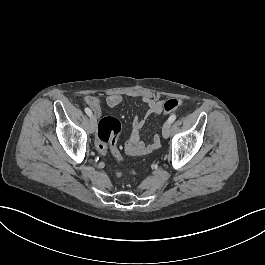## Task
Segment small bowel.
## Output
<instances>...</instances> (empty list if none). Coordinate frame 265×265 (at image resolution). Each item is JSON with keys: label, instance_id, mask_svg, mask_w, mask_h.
<instances>
[{"label": "small bowel", "instance_id": "small-bowel-1", "mask_svg": "<svg viewBox=\"0 0 265 265\" xmlns=\"http://www.w3.org/2000/svg\"><path fill=\"white\" fill-rule=\"evenodd\" d=\"M81 101L88 102L89 105L94 109L95 115L101 114L100 99L98 97L82 95ZM122 101H123V96L118 92H113L109 94L106 98V103L109 107H116L120 105ZM141 101L147 106V110L144 116L140 120L134 123L132 136L130 137V139L126 144V151L131 156L148 155L160 146V138L158 135H155L150 143H145L141 139L139 131L141 130L145 121L149 117L153 115H159L162 113L163 101L154 98L149 94L142 95Z\"/></svg>", "mask_w": 265, "mask_h": 265}]
</instances>
